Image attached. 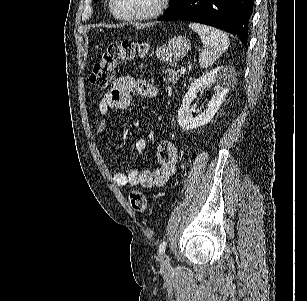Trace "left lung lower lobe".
<instances>
[{"mask_svg":"<svg viewBox=\"0 0 307 301\" xmlns=\"http://www.w3.org/2000/svg\"><path fill=\"white\" fill-rule=\"evenodd\" d=\"M253 1L181 0L159 20H186L210 25L232 33L247 46Z\"/></svg>","mask_w":307,"mask_h":301,"instance_id":"left-lung-lower-lobe-1","label":"left lung lower lobe"}]
</instances>
